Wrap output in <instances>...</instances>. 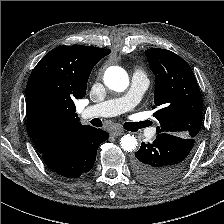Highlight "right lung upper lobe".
<instances>
[{
    "label": "right lung upper lobe",
    "mask_w": 224,
    "mask_h": 224,
    "mask_svg": "<svg viewBox=\"0 0 224 224\" xmlns=\"http://www.w3.org/2000/svg\"><path fill=\"white\" fill-rule=\"evenodd\" d=\"M110 52L98 47L59 46L35 66L25 91L26 115L40 154L65 135L88 127L79 122L74 100L85 96L92 68Z\"/></svg>",
    "instance_id": "cb5924a9"
}]
</instances>
